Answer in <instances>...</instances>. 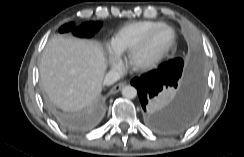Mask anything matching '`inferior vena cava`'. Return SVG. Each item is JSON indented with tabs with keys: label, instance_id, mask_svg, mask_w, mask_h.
<instances>
[{
	"label": "inferior vena cava",
	"instance_id": "602c4592",
	"mask_svg": "<svg viewBox=\"0 0 244 157\" xmlns=\"http://www.w3.org/2000/svg\"><path fill=\"white\" fill-rule=\"evenodd\" d=\"M120 79V74L117 71H110L105 75L103 80L104 85H112Z\"/></svg>",
	"mask_w": 244,
	"mask_h": 157
}]
</instances>
